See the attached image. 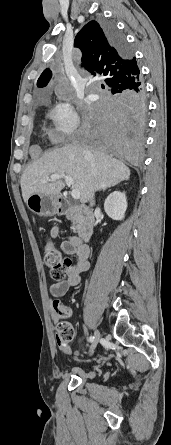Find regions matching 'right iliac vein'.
Returning <instances> with one entry per match:
<instances>
[{"mask_svg":"<svg viewBox=\"0 0 171 445\" xmlns=\"http://www.w3.org/2000/svg\"><path fill=\"white\" fill-rule=\"evenodd\" d=\"M100 336H101L100 335V331L96 330L95 333H94V340L92 342V346H91V349L89 351V355H91L93 353L95 347L97 346V344H98V342L100 340Z\"/></svg>","mask_w":171,"mask_h":445,"instance_id":"63e3f726","label":"right iliac vein"}]
</instances>
